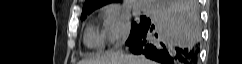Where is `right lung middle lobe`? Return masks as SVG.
<instances>
[{
    "label": "right lung middle lobe",
    "mask_w": 242,
    "mask_h": 64,
    "mask_svg": "<svg viewBox=\"0 0 242 64\" xmlns=\"http://www.w3.org/2000/svg\"><path fill=\"white\" fill-rule=\"evenodd\" d=\"M87 14H90V13H83L81 15V20H84L86 18ZM150 23H151V20L149 18H147V17H144V16L140 17V22H138V23L132 22L131 34H130L127 42H129L132 38H134L143 29L148 27Z\"/></svg>",
    "instance_id": "right-lung-middle-lobe-1"
}]
</instances>
